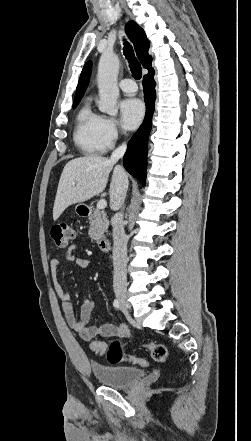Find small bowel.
<instances>
[{"label":"small bowel","mask_w":251,"mask_h":441,"mask_svg":"<svg viewBox=\"0 0 251 441\" xmlns=\"http://www.w3.org/2000/svg\"><path fill=\"white\" fill-rule=\"evenodd\" d=\"M68 262H74L78 267L86 269L90 266V260L83 257H76L73 251H69L65 257ZM50 272L52 275L53 289L61 302V311L68 326L76 331L85 341H93L100 337H128L129 328L126 325L102 324L100 326L91 325L90 321L94 309L93 303L89 299H84L80 306V316L76 318L72 305L71 295L66 291L58 280V270L60 261L52 259L50 261Z\"/></svg>","instance_id":"small-bowel-1"}]
</instances>
